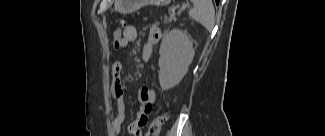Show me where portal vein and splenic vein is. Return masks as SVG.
<instances>
[{"instance_id": "obj_1", "label": "portal vein and splenic vein", "mask_w": 325, "mask_h": 136, "mask_svg": "<svg viewBox=\"0 0 325 136\" xmlns=\"http://www.w3.org/2000/svg\"><path fill=\"white\" fill-rule=\"evenodd\" d=\"M189 5L188 4H183L182 7L180 8V11L185 10Z\"/></svg>"}]
</instances>
